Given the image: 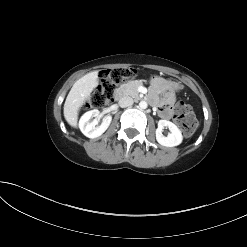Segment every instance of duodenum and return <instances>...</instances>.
I'll return each mask as SVG.
<instances>
[{
  "mask_svg": "<svg viewBox=\"0 0 247 247\" xmlns=\"http://www.w3.org/2000/svg\"><path fill=\"white\" fill-rule=\"evenodd\" d=\"M117 91H118L117 99H121L124 96L122 86H117Z\"/></svg>",
  "mask_w": 247,
  "mask_h": 247,
  "instance_id": "duodenum-1",
  "label": "duodenum"
}]
</instances>
